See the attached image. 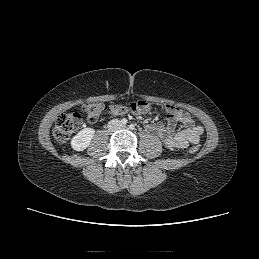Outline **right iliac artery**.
<instances>
[{
  "label": "right iliac artery",
  "instance_id": "82829eb1",
  "mask_svg": "<svg viewBox=\"0 0 259 259\" xmlns=\"http://www.w3.org/2000/svg\"><path fill=\"white\" fill-rule=\"evenodd\" d=\"M127 122H128V121H127V119H126V118H123V119L121 120V123H122V124H124V125H126V124H127Z\"/></svg>",
  "mask_w": 259,
  "mask_h": 259
}]
</instances>
